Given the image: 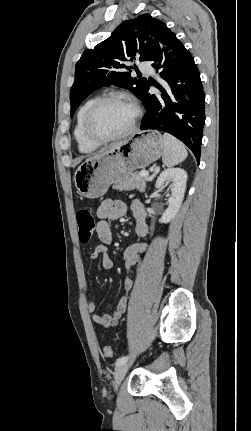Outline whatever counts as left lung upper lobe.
<instances>
[{"label":"left lung upper lobe","instance_id":"obj_1","mask_svg":"<svg viewBox=\"0 0 251 431\" xmlns=\"http://www.w3.org/2000/svg\"><path fill=\"white\" fill-rule=\"evenodd\" d=\"M171 33L162 21L143 14L124 21L108 39L86 50L75 67L71 116L89 94L104 86L128 89L141 99L148 82L145 78H132L126 63L150 61L154 48Z\"/></svg>","mask_w":251,"mask_h":431}]
</instances>
